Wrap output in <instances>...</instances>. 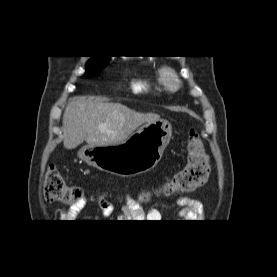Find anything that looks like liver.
<instances>
[{"label":"liver","instance_id":"6515ba94","mask_svg":"<svg viewBox=\"0 0 277 277\" xmlns=\"http://www.w3.org/2000/svg\"><path fill=\"white\" fill-rule=\"evenodd\" d=\"M159 119L158 114L135 112L119 103L73 97L63 114V144L66 149H74L84 141L89 146L118 144L141 125Z\"/></svg>","mask_w":277,"mask_h":277}]
</instances>
